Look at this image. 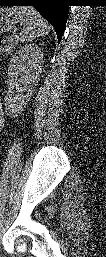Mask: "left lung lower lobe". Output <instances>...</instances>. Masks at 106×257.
<instances>
[{
	"label": "left lung lower lobe",
	"instance_id": "1",
	"mask_svg": "<svg viewBox=\"0 0 106 257\" xmlns=\"http://www.w3.org/2000/svg\"><path fill=\"white\" fill-rule=\"evenodd\" d=\"M70 0H0L3 6H33L54 27L58 41L64 33Z\"/></svg>",
	"mask_w": 106,
	"mask_h": 257
}]
</instances>
